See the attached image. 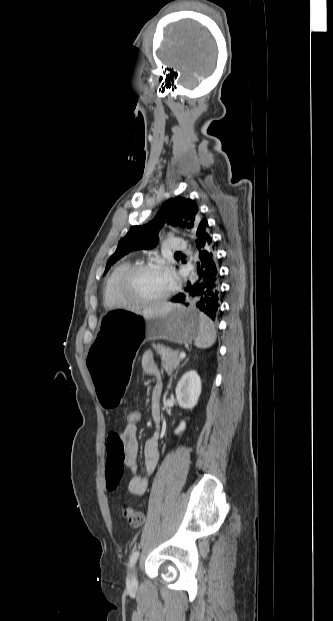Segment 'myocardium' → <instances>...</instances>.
Returning <instances> with one entry per match:
<instances>
[{"label": "myocardium", "instance_id": "1", "mask_svg": "<svg viewBox=\"0 0 333 621\" xmlns=\"http://www.w3.org/2000/svg\"><path fill=\"white\" fill-rule=\"evenodd\" d=\"M143 271H160L167 274V270L165 267L156 262H148V263H139L130 266L119 278L117 282V293L118 296L124 305H143V306H153L159 305L167 300L173 295L175 290L174 282L171 281L170 288L168 292L160 298L153 300H145L132 296L129 294L127 288L130 280L138 273Z\"/></svg>", "mask_w": 333, "mask_h": 621}]
</instances>
